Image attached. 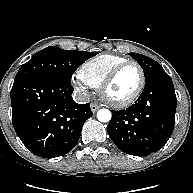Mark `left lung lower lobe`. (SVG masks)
I'll return each mask as SVG.
<instances>
[{
    "label": "left lung lower lobe",
    "mask_w": 193,
    "mask_h": 193,
    "mask_svg": "<svg viewBox=\"0 0 193 193\" xmlns=\"http://www.w3.org/2000/svg\"><path fill=\"white\" fill-rule=\"evenodd\" d=\"M135 104L112 111L107 132L123 152L147 156L162 148L175 124L176 94L170 76L161 70L145 82Z\"/></svg>",
    "instance_id": "left-lung-lower-lobe-1"
}]
</instances>
